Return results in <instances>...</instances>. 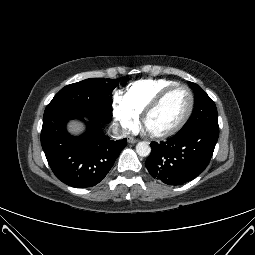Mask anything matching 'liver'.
I'll list each match as a JSON object with an SVG mask.
<instances>
[{
    "mask_svg": "<svg viewBox=\"0 0 255 255\" xmlns=\"http://www.w3.org/2000/svg\"><path fill=\"white\" fill-rule=\"evenodd\" d=\"M83 125L82 123L78 122V121H71L68 124V130L75 135H78L79 133H81L83 131Z\"/></svg>",
    "mask_w": 255,
    "mask_h": 255,
    "instance_id": "liver-1",
    "label": "liver"
}]
</instances>
